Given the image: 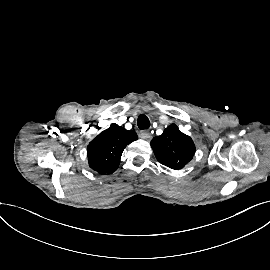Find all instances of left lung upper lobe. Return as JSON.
Listing matches in <instances>:
<instances>
[{
	"label": "left lung upper lobe",
	"mask_w": 270,
	"mask_h": 270,
	"mask_svg": "<svg viewBox=\"0 0 270 270\" xmlns=\"http://www.w3.org/2000/svg\"><path fill=\"white\" fill-rule=\"evenodd\" d=\"M157 160L172 169H182L194 156L195 145L192 139L172 124L163 134L151 141Z\"/></svg>",
	"instance_id": "5c2ea615"
}]
</instances>
